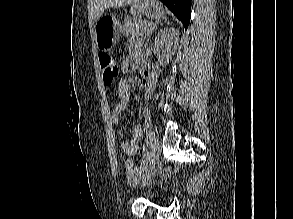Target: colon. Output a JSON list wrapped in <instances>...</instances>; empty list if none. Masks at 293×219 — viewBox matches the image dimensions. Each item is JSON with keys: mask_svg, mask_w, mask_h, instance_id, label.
<instances>
[{"mask_svg": "<svg viewBox=\"0 0 293 219\" xmlns=\"http://www.w3.org/2000/svg\"><path fill=\"white\" fill-rule=\"evenodd\" d=\"M99 62L103 72L104 83L106 85H111L115 81L119 73V68H118V63L116 58L107 52H101L99 54ZM125 168L129 172V178L132 179L135 175L133 160H126Z\"/></svg>", "mask_w": 293, "mask_h": 219, "instance_id": "obj_1", "label": "colon"}]
</instances>
